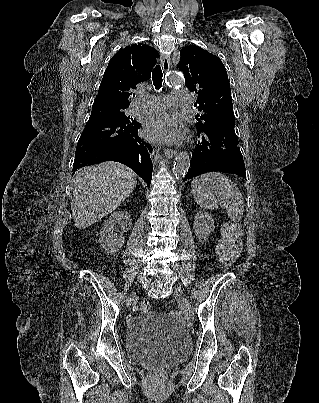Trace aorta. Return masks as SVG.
Listing matches in <instances>:
<instances>
[{
    "instance_id": "1",
    "label": "aorta",
    "mask_w": 319,
    "mask_h": 403,
    "mask_svg": "<svg viewBox=\"0 0 319 403\" xmlns=\"http://www.w3.org/2000/svg\"><path fill=\"white\" fill-rule=\"evenodd\" d=\"M166 84L171 87L181 86L183 84V80L180 76L175 73H171L167 76L165 80ZM190 166V157L187 152H180L174 162L173 173L176 177L182 178L185 176Z\"/></svg>"
}]
</instances>
